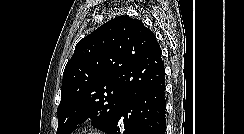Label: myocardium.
<instances>
[{"instance_id":"obj_1","label":"myocardium","mask_w":244,"mask_h":134,"mask_svg":"<svg viewBox=\"0 0 244 134\" xmlns=\"http://www.w3.org/2000/svg\"><path fill=\"white\" fill-rule=\"evenodd\" d=\"M73 134H108L105 130L96 127V126H89V127H85L81 130H79L76 133Z\"/></svg>"}]
</instances>
